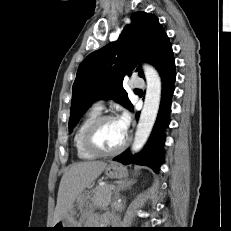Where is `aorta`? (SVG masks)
<instances>
[{
    "mask_svg": "<svg viewBox=\"0 0 231 231\" xmlns=\"http://www.w3.org/2000/svg\"><path fill=\"white\" fill-rule=\"evenodd\" d=\"M146 78V94L144 106L137 125L132 152H139L145 145L154 126L161 100L162 82L154 67L148 64L143 65Z\"/></svg>",
    "mask_w": 231,
    "mask_h": 231,
    "instance_id": "762f6f07",
    "label": "aorta"
}]
</instances>
